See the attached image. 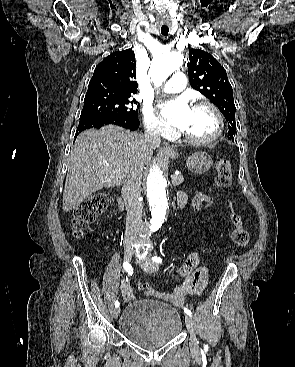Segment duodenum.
Instances as JSON below:
<instances>
[{"mask_svg":"<svg viewBox=\"0 0 295 367\" xmlns=\"http://www.w3.org/2000/svg\"><path fill=\"white\" fill-rule=\"evenodd\" d=\"M118 205L121 210L125 209V201L121 196L118 199ZM179 205L182 206L183 204L179 203Z\"/></svg>","mask_w":295,"mask_h":367,"instance_id":"obj_1","label":"duodenum"}]
</instances>
